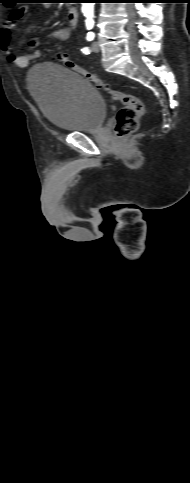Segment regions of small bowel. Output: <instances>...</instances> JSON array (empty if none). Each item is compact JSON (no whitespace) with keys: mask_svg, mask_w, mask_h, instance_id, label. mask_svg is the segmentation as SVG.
Segmentation results:
<instances>
[{"mask_svg":"<svg viewBox=\"0 0 190 483\" xmlns=\"http://www.w3.org/2000/svg\"><path fill=\"white\" fill-rule=\"evenodd\" d=\"M27 10L28 6L26 5L13 9L4 25L0 28V49L9 61L13 62L19 68L26 67L31 59L39 56L38 52H33L27 55H17L13 46L11 45V37L16 24L22 18L24 13L27 12ZM70 34L71 27H62L50 32L47 35V38L59 41H67L70 38Z\"/></svg>","mask_w":190,"mask_h":483,"instance_id":"1","label":"small bowel"}]
</instances>
